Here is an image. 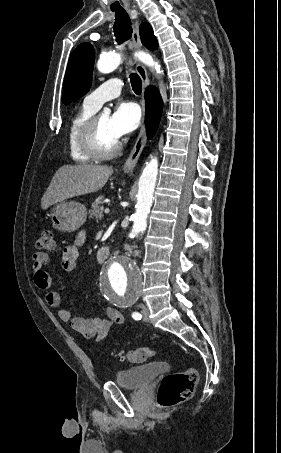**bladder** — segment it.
I'll list each match as a JSON object with an SVG mask.
<instances>
[{
    "mask_svg": "<svg viewBox=\"0 0 281 453\" xmlns=\"http://www.w3.org/2000/svg\"><path fill=\"white\" fill-rule=\"evenodd\" d=\"M169 371V366L162 362L130 368L117 374L116 383L129 389H140L149 385L155 378Z\"/></svg>",
    "mask_w": 281,
    "mask_h": 453,
    "instance_id": "bladder-1",
    "label": "bladder"
}]
</instances>
